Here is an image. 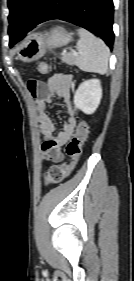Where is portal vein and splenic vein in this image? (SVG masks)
<instances>
[{"label": "portal vein and splenic vein", "mask_w": 134, "mask_h": 281, "mask_svg": "<svg viewBox=\"0 0 134 281\" xmlns=\"http://www.w3.org/2000/svg\"><path fill=\"white\" fill-rule=\"evenodd\" d=\"M72 54L73 55H77L78 53L76 51H72Z\"/></svg>", "instance_id": "obj_1"}]
</instances>
